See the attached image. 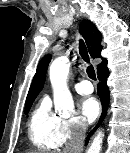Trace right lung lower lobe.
<instances>
[{
  "label": "right lung lower lobe",
  "mask_w": 130,
  "mask_h": 153,
  "mask_svg": "<svg viewBox=\"0 0 130 153\" xmlns=\"http://www.w3.org/2000/svg\"><path fill=\"white\" fill-rule=\"evenodd\" d=\"M98 73V79H99V84H98V95L100 97L101 103H102V115L100 118V121L96 128L100 125L102 120L104 119V116L106 114L108 105H109V87L107 86V77L109 75V70L107 68V65L104 66ZM95 128V129H96ZM94 129V131H95ZM93 131V132H94ZM89 136L87 137L86 144L88 143Z\"/></svg>",
  "instance_id": "right-lung-lower-lobe-1"
}]
</instances>
